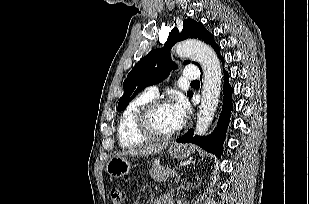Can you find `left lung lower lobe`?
<instances>
[{
	"label": "left lung lower lobe",
	"instance_id": "obj_1",
	"mask_svg": "<svg viewBox=\"0 0 309 204\" xmlns=\"http://www.w3.org/2000/svg\"><path fill=\"white\" fill-rule=\"evenodd\" d=\"M218 53V57L221 59L222 63L224 64V59L220 55L219 50L216 52ZM225 74V81L223 86L224 97H223V106L222 111L219 117L218 125L214 132L209 136H193L194 131L190 129L186 134L179 137L176 141L180 143H195L198 144L200 147L205 149L208 152L214 153L217 156H221L222 154V146L225 139L226 128L229 124L230 112L233 107L231 95L233 93V89L231 88L229 81H228V73L224 70Z\"/></svg>",
	"mask_w": 309,
	"mask_h": 204
}]
</instances>
